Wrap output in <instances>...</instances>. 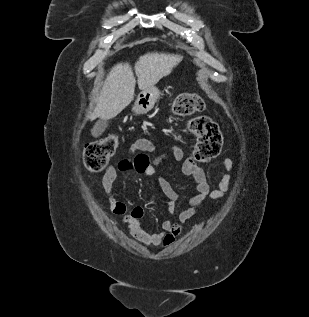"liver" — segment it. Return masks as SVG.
<instances>
[{
	"instance_id": "obj_1",
	"label": "liver",
	"mask_w": 309,
	"mask_h": 317,
	"mask_svg": "<svg viewBox=\"0 0 309 317\" xmlns=\"http://www.w3.org/2000/svg\"><path fill=\"white\" fill-rule=\"evenodd\" d=\"M182 56L151 52L140 56L135 63L138 87L146 90L155 86L163 77L169 75L180 63ZM136 79L129 63H118L107 75L96 107L90 120L100 118L109 120L116 117L134 98Z\"/></svg>"
}]
</instances>
